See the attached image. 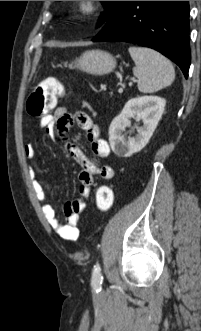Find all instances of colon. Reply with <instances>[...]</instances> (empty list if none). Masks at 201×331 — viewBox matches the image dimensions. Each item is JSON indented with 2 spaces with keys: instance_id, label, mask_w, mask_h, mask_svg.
I'll return each instance as SVG.
<instances>
[{
  "instance_id": "colon-1",
  "label": "colon",
  "mask_w": 201,
  "mask_h": 331,
  "mask_svg": "<svg viewBox=\"0 0 201 331\" xmlns=\"http://www.w3.org/2000/svg\"><path fill=\"white\" fill-rule=\"evenodd\" d=\"M64 87L55 78L42 81L30 94L26 110L32 117H43L56 106L58 99L63 95ZM97 209L106 213L113 206V191L107 185H101L96 191Z\"/></svg>"
}]
</instances>
